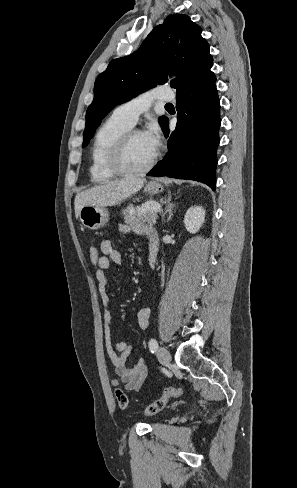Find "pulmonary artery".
Returning <instances> with one entry per match:
<instances>
[{"label":"pulmonary artery","mask_w":297,"mask_h":488,"mask_svg":"<svg viewBox=\"0 0 297 488\" xmlns=\"http://www.w3.org/2000/svg\"><path fill=\"white\" fill-rule=\"evenodd\" d=\"M174 94L164 88L148 90L137 97L118 106L114 113L129 125L134 126L138 117L147 111L154 101H172Z\"/></svg>","instance_id":"pulmonary-artery-1"}]
</instances>
